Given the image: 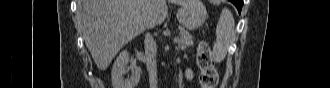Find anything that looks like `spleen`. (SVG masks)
Segmentation results:
<instances>
[{"label":"spleen","mask_w":330,"mask_h":88,"mask_svg":"<svg viewBox=\"0 0 330 88\" xmlns=\"http://www.w3.org/2000/svg\"><path fill=\"white\" fill-rule=\"evenodd\" d=\"M234 18L232 13L224 8L220 14L216 28V41L213 46V59L220 63L226 57L229 46L235 41Z\"/></svg>","instance_id":"spleen-1"}]
</instances>
